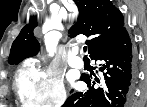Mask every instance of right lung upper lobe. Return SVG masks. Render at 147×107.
<instances>
[{
  "label": "right lung upper lobe",
  "instance_id": "right-lung-upper-lobe-1",
  "mask_svg": "<svg viewBox=\"0 0 147 107\" xmlns=\"http://www.w3.org/2000/svg\"><path fill=\"white\" fill-rule=\"evenodd\" d=\"M74 2L79 10V18L69 30V34L70 37L78 34L90 37L86 42L90 55L124 28V18L110 0H74ZM36 26L37 20L33 18L22 28L12 44L9 64H18L25 58L37 54L40 46L33 34Z\"/></svg>",
  "mask_w": 147,
  "mask_h": 107
}]
</instances>
